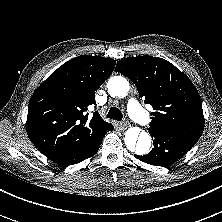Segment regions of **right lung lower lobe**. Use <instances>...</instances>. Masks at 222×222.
<instances>
[{"label":"right lung lower lobe","instance_id":"98d812e1","mask_svg":"<svg viewBox=\"0 0 222 222\" xmlns=\"http://www.w3.org/2000/svg\"><path fill=\"white\" fill-rule=\"evenodd\" d=\"M113 129V126H111L101 137H99L92 145L91 148L87 149L85 152H83L82 154L76 156V157H73L71 159H67V160H63V161H59V162H56L57 164H59L60 166H63V167H67L69 165H72V164H76V163H79L89 157H92L93 155L96 154V152L98 151V149L100 148V145L102 143V140H103V137L104 135Z\"/></svg>","mask_w":222,"mask_h":222}]
</instances>
